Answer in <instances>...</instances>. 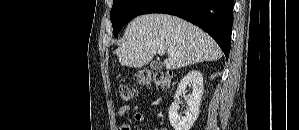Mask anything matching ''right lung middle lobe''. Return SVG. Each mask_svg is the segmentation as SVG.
Returning <instances> with one entry per match:
<instances>
[{
	"label": "right lung middle lobe",
	"mask_w": 299,
	"mask_h": 130,
	"mask_svg": "<svg viewBox=\"0 0 299 130\" xmlns=\"http://www.w3.org/2000/svg\"><path fill=\"white\" fill-rule=\"evenodd\" d=\"M151 0H113V7L110 12V19L113 26L114 36H118L121 28L139 15L141 10Z\"/></svg>",
	"instance_id": "obj_1"
}]
</instances>
